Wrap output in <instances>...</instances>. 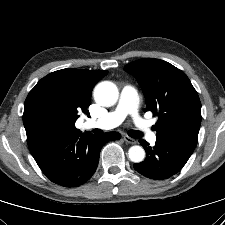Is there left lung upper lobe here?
Returning a JSON list of instances; mask_svg holds the SVG:
<instances>
[{"instance_id":"left-lung-upper-lobe-1","label":"left lung upper lobe","mask_w":225,"mask_h":225,"mask_svg":"<svg viewBox=\"0 0 225 225\" xmlns=\"http://www.w3.org/2000/svg\"><path fill=\"white\" fill-rule=\"evenodd\" d=\"M140 84L146 111L158 116L157 140L194 151L201 124V102L189 78L172 64L144 58L125 66Z\"/></svg>"}]
</instances>
